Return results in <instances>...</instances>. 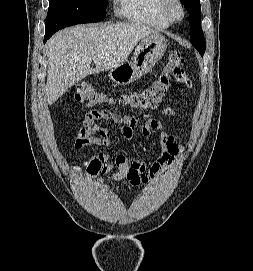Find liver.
I'll list each match as a JSON object with an SVG mask.
<instances>
[{
    "label": "liver",
    "mask_w": 253,
    "mask_h": 271,
    "mask_svg": "<svg viewBox=\"0 0 253 271\" xmlns=\"http://www.w3.org/2000/svg\"><path fill=\"white\" fill-rule=\"evenodd\" d=\"M157 33L133 22L77 25L56 33L45 47L47 105L53 104L87 75L121 65L140 40ZM92 61L95 69L90 67Z\"/></svg>",
    "instance_id": "liver-1"
}]
</instances>
